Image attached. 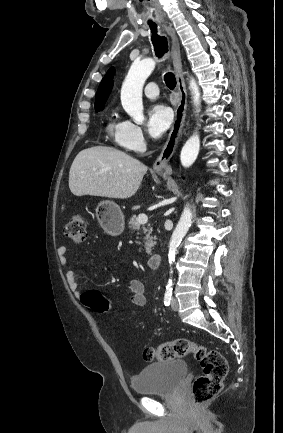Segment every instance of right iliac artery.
<instances>
[{
  "label": "right iliac artery",
  "instance_id": "right-iliac-artery-1",
  "mask_svg": "<svg viewBox=\"0 0 283 433\" xmlns=\"http://www.w3.org/2000/svg\"><path fill=\"white\" fill-rule=\"evenodd\" d=\"M171 299H172V288H168L167 287V290H166V293H165V296H164V304H165V306H169L170 305Z\"/></svg>",
  "mask_w": 283,
  "mask_h": 433
}]
</instances>
